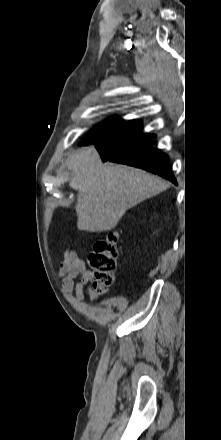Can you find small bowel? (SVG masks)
I'll use <instances>...</instances> for the list:
<instances>
[{
    "instance_id": "obj_1",
    "label": "small bowel",
    "mask_w": 221,
    "mask_h": 440,
    "mask_svg": "<svg viewBox=\"0 0 221 440\" xmlns=\"http://www.w3.org/2000/svg\"><path fill=\"white\" fill-rule=\"evenodd\" d=\"M58 275L62 278V289L67 295L75 292L79 301L85 300L87 289L91 301L96 302L109 293L107 287L99 284L84 260L73 250L67 249L59 265Z\"/></svg>"
}]
</instances>
